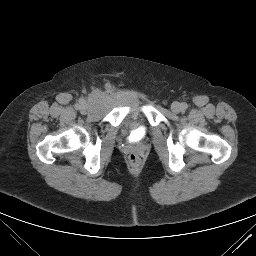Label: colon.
<instances>
[{"mask_svg": "<svg viewBox=\"0 0 256 256\" xmlns=\"http://www.w3.org/2000/svg\"><path fill=\"white\" fill-rule=\"evenodd\" d=\"M128 161H129L130 165L135 166V167L139 166L141 163L140 157L135 153H132L129 155Z\"/></svg>", "mask_w": 256, "mask_h": 256, "instance_id": "5ec220e1", "label": "colon"}]
</instances>
